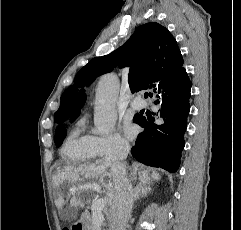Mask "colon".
Returning a JSON list of instances; mask_svg holds the SVG:
<instances>
[{
	"label": "colon",
	"mask_w": 241,
	"mask_h": 230,
	"mask_svg": "<svg viewBox=\"0 0 241 230\" xmlns=\"http://www.w3.org/2000/svg\"><path fill=\"white\" fill-rule=\"evenodd\" d=\"M63 230H70L69 228H64Z\"/></svg>",
	"instance_id": "1"
}]
</instances>
